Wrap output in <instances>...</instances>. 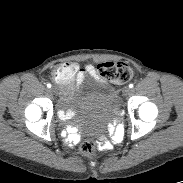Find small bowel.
Listing matches in <instances>:
<instances>
[{"label":"small bowel","instance_id":"small-bowel-1","mask_svg":"<svg viewBox=\"0 0 183 183\" xmlns=\"http://www.w3.org/2000/svg\"><path fill=\"white\" fill-rule=\"evenodd\" d=\"M58 72H61L62 74L70 75V81L64 82L61 84V95L67 96L72 91V83L73 81L76 82V85L79 87L83 84L85 78L87 76H91L94 78L95 81L103 82L97 75L95 68L93 65L88 64L84 67H80L75 62H68L63 64L59 69ZM72 111H60V117L63 119H69L72 116ZM110 133L113 134V141H116L119 136V128L118 127H111ZM68 134L72 137V142L76 143L79 141V136L76 134V131L73 127L68 128Z\"/></svg>","mask_w":183,"mask_h":183}]
</instances>
